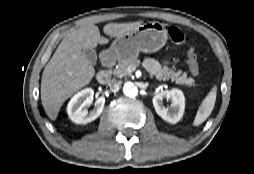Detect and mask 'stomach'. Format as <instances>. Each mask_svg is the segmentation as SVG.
<instances>
[{"instance_id":"1","label":"stomach","mask_w":254,"mask_h":174,"mask_svg":"<svg viewBox=\"0 0 254 174\" xmlns=\"http://www.w3.org/2000/svg\"><path fill=\"white\" fill-rule=\"evenodd\" d=\"M167 30L159 22H149L135 31L117 37L105 52L117 60L132 59L139 52L152 53L160 50L167 41Z\"/></svg>"}]
</instances>
